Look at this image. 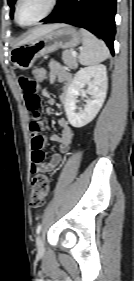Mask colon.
<instances>
[{
    "mask_svg": "<svg viewBox=\"0 0 134 281\" xmlns=\"http://www.w3.org/2000/svg\"><path fill=\"white\" fill-rule=\"evenodd\" d=\"M47 71L43 67H37L34 70V78L40 83L46 80ZM50 190V181L44 174L36 175L32 180L31 188V205L33 207H40L48 196Z\"/></svg>",
    "mask_w": 134,
    "mask_h": 281,
    "instance_id": "obj_1",
    "label": "colon"
}]
</instances>
